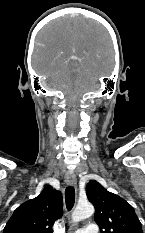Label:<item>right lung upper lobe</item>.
Here are the masks:
<instances>
[{
	"instance_id": "right-lung-upper-lobe-1",
	"label": "right lung upper lobe",
	"mask_w": 145,
	"mask_h": 233,
	"mask_svg": "<svg viewBox=\"0 0 145 233\" xmlns=\"http://www.w3.org/2000/svg\"><path fill=\"white\" fill-rule=\"evenodd\" d=\"M62 212L61 193L48 185L36 198L14 211L3 233H52V226Z\"/></svg>"
}]
</instances>
